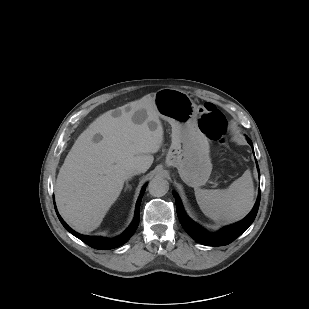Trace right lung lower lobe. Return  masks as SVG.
Segmentation results:
<instances>
[{"label":"right lung lower lobe","mask_w":309,"mask_h":309,"mask_svg":"<svg viewBox=\"0 0 309 309\" xmlns=\"http://www.w3.org/2000/svg\"><path fill=\"white\" fill-rule=\"evenodd\" d=\"M144 191H145V186L142 189V192L138 198V201L136 204L135 218L132 224L123 234H121L120 236L114 239H106L103 237H90V236L81 235L73 231L60 217V215L57 212L56 207L55 209H56L57 216L59 220L61 221L62 225L75 237L79 238L81 241H83L84 243H86L87 245L95 249H104V250L113 249V248H116L124 244L136 231L138 224H139V220H140V203H141V199L144 194ZM54 206H55V203H54Z\"/></svg>","instance_id":"98d812e1"}]
</instances>
